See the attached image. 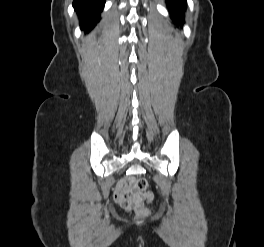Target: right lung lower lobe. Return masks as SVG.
I'll return each mask as SVG.
<instances>
[{"mask_svg":"<svg viewBox=\"0 0 264 247\" xmlns=\"http://www.w3.org/2000/svg\"><path fill=\"white\" fill-rule=\"evenodd\" d=\"M105 0H73V7L80 19L81 29L89 32L100 19Z\"/></svg>","mask_w":264,"mask_h":247,"instance_id":"98d812e1","label":"right lung lower lobe"}]
</instances>
